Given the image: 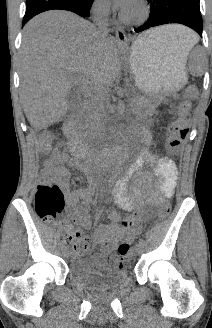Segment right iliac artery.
<instances>
[{"label":"right iliac artery","instance_id":"right-iliac-artery-1","mask_svg":"<svg viewBox=\"0 0 212 328\" xmlns=\"http://www.w3.org/2000/svg\"><path fill=\"white\" fill-rule=\"evenodd\" d=\"M61 246H62V247L65 246V242H64V241L61 242Z\"/></svg>","mask_w":212,"mask_h":328}]
</instances>
